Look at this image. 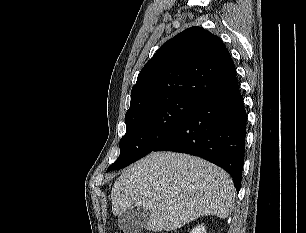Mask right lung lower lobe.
Returning a JSON list of instances; mask_svg holds the SVG:
<instances>
[{
  "label": "right lung lower lobe",
  "instance_id": "right-lung-lower-lobe-1",
  "mask_svg": "<svg viewBox=\"0 0 306 233\" xmlns=\"http://www.w3.org/2000/svg\"><path fill=\"white\" fill-rule=\"evenodd\" d=\"M246 120L237 84L202 103L153 151H176L202 157L226 170L239 191Z\"/></svg>",
  "mask_w": 306,
  "mask_h": 233
}]
</instances>
